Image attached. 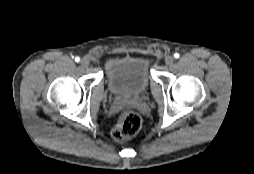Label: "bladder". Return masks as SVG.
<instances>
[{
  "label": "bladder",
  "instance_id": "bladder-1",
  "mask_svg": "<svg viewBox=\"0 0 254 174\" xmlns=\"http://www.w3.org/2000/svg\"><path fill=\"white\" fill-rule=\"evenodd\" d=\"M108 87L120 97L138 96L150 85L149 60L143 56H124L106 66Z\"/></svg>",
  "mask_w": 254,
  "mask_h": 174
}]
</instances>
